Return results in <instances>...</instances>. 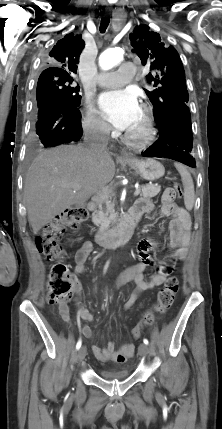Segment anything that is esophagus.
<instances>
[{
    "mask_svg": "<svg viewBox=\"0 0 222 429\" xmlns=\"http://www.w3.org/2000/svg\"><path fill=\"white\" fill-rule=\"evenodd\" d=\"M113 17L114 18H122V13H119V12H115V13H113ZM121 158H123V159H130L131 158V155L129 154V153H127L126 151H122L121 152Z\"/></svg>",
    "mask_w": 222,
    "mask_h": 429,
    "instance_id": "34e87169",
    "label": "esophagus"
}]
</instances>
